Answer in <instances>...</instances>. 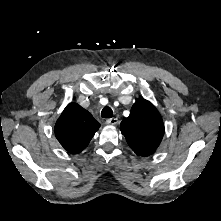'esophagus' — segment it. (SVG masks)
<instances>
[{
	"mask_svg": "<svg viewBox=\"0 0 221 221\" xmlns=\"http://www.w3.org/2000/svg\"><path fill=\"white\" fill-rule=\"evenodd\" d=\"M117 123H118L117 118H110L106 121V124H109V125H116Z\"/></svg>",
	"mask_w": 221,
	"mask_h": 221,
	"instance_id": "esophagus-1",
	"label": "esophagus"
}]
</instances>
